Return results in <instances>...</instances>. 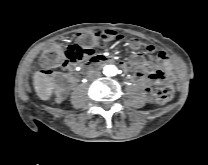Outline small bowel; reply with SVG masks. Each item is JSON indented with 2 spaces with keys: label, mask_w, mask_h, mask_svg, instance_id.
<instances>
[{
  "label": "small bowel",
  "mask_w": 208,
  "mask_h": 165,
  "mask_svg": "<svg viewBox=\"0 0 208 165\" xmlns=\"http://www.w3.org/2000/svg\"><path fill=\"white\" fill-rule=\"evenodd\" d=\"M110 58L104 54L93 55L92 57L84 58L80 61L83 67L93 66L96 63H106ZM120 66L125 71H131L147 96L152 94V84H170L175 80L174 63L164 53L159 52L156 57V62L146 60L141 54L134 53L130 56L128 62H122ZM65 69L67 72L72 73L75 71L76 66L74 63L69 62L66 64ZM74 77L64 79L59 82L61 88L58 92V101H61L67 93V89L73 85Z\"/></svg>",
  "instance_id": "small-bowel-1"
}]
</instances>
